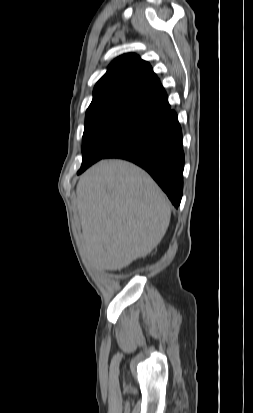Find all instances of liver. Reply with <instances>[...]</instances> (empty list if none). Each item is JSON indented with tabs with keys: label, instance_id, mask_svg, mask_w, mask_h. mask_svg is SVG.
<instances>
[{
	"label": "liver",
	"instance_id": "6515ba94",
	"mask_svg": "<svg viewBox=\"0 0 253 413\" xmlns=\"http://www.w3.org/2000/svg\"><path fill=\"white\" fill-rule=\"evenodd\" d=\"M76 194L84 251L97 269L120 271L148 255L169 226L167 197L130 162H98L80 177Z\"/></svg>",
	"mask_w": 253,
	"mask_h": 413
}]
</instances>
